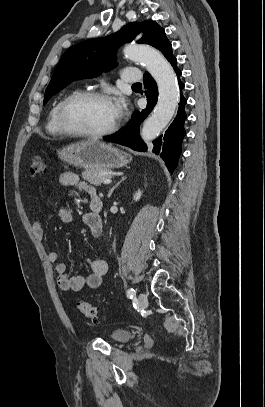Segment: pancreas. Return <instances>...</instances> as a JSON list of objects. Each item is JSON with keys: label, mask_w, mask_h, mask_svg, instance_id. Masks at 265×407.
Returning <instances> with one entry per match:
<instances>
[{"label": "pancreas", "mask_w": 265, "mask_h": 407, "mask_svg": "<svg viewBox=\"0 0 265 407\" xmlns=\"http://www.w3.org/2000/svg\"><path fill=\"white\" fill-rule=\"evenodd\" d=\"M102 170L98 169H89L82 173V178L88 181L90 184L99 186L104 179L109 178L107 174H103Z\"/></svg>", "instance_id": "cf45deb5"}]
</instances>
